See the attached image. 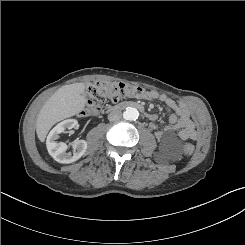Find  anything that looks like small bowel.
Segmentation results:
<instances>
[{
    "label": "small bowel",
    "instance_id": "small-bowel-1",
    "mask_svg": "<svg viewBox=\"0 0 245 245\" xmlns=\"http://www.w3.org/2000/svg\"><path fill=\"white\" fill-rule=\"evenodd\" d=\"M145 98L149 101H161L165 105L169 116V125L164 129H159L155 123L157 121V115L151 114L150 127L158 139L163 138L164 135L169 132H178L179 137L183 140H196L198 138L194 122L192 121L189 109L185 104L177 103L167 95L160 94L156 91L148 92L145 95Z\"/></svg>",
    "mask_w": 245,
    "mask_h": 245
}]
</instances>
